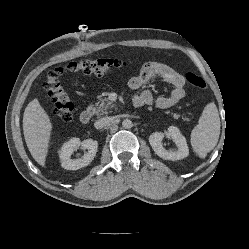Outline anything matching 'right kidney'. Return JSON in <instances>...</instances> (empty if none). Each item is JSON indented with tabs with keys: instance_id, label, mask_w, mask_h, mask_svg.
<instances>
[{
	"instance_id": "right-kidney-1",
	"label": "right kidney",
	"mask_w": 249,
	"mask_h": 249,
	"mask_svg": "<svg viewBox=\"0 0 249 249\" xmlns=\"http://www.w3.org/2000/svg\"><path fill=\"white\" fill-rule=\"evenodd\" d=\"M83 147L88 152L81 159H71L72 153L78 148ZM98 148V142L92 139L80 141L78 138H72L64 143L59 152L61 166L66 170H77L87 166L94 159Z\"/></svg>"
}]
</instances>
